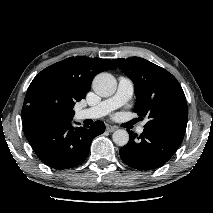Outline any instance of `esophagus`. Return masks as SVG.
<instances>
[{
  "label": "esophagus",
  "mask_w": 213,
  "mask_h": 213,
  "mask_svg": "<svg viewBox=\"0 0 213 213\" xmlns=\"http://www.w3.org/2000/svg\"><path fill=\"white\" fill-rule=\"evenodd\" d=\"M106 130L109 131V132H113V131L117 130V127L112 126V125H107Z\"/></svg>",
  "instance_id": "1"
}]
</instances>
